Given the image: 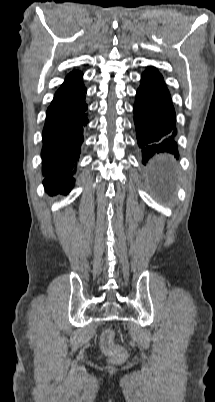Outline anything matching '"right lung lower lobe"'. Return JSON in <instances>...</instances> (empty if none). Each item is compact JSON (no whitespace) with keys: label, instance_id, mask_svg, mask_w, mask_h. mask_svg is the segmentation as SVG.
I'll return each mask as SVG.
<instances>
[{"label":"right lung lower lobe","instance_id":"right-lung-lower-lobe-1","mask_svg":"<svg viewBox=\"0 0 215 402\" xmlns=\"http://www.w3.org/2000/svg\"><path fill=\"white\" fill-rule=\"evenodd\" d=\"M86 87L82 78L58 90L47 109L43 128L42 172L50 193H68L74 185V167L80 156L83 130L88 124Z\"/></svg>","mask_w":215,"mask_h":402}]
</instances>
